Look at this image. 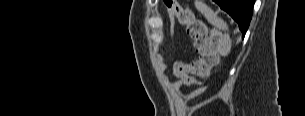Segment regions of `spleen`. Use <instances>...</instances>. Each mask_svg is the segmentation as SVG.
<instances>
[{
	"instance_id": "1",
	"label": "spleen",
	"mask_w": 305,
	"mask_h": 116,
	"mask_svg": "<svg viewBox=\"0 0 305 116\" xmlns=\"http://www.w3.org/2000/svg\"><path fill=\"white\" fill-rule=\"evenodd\" d=\"M196 7L214 27L219 30H228L227 24L221 18L217 17V15L207 5L198 3Z\"/></svg>"
}]
</instances>
